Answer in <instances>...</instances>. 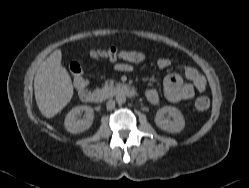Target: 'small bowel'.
Masks as SVG:
<instances>
[{
  "mask_svg": "<svg viewBox=\"0 0 249 188\" xmlns=\"http://www.w3.org/2000/svg\"><path fill=\"white\" fill-rule=\"evenodd\" d=\"M138 58L123 59L127 63H119L116 66L118 71L130 72L132 71L131 63H139L144 59V55L139 51H128ZM172 65L169 58L161 57L157 60V66L164 70ZM206 89V81L204 77L194 67H185L183 76L172 73L166 76L164 80V95L170 102H182L191 100L195 96V92H204ZM147 100L153 104L158 105L161 101L160 95L155 88H148L145 91Z\"/></svg>",
  "mask_w": 249,
  "mask_h": 188,
  "instance_id": "obj_1",
  "label": "small bowel"
}]
</instances>
